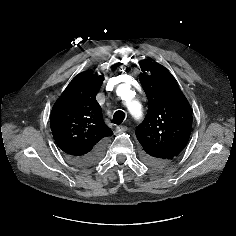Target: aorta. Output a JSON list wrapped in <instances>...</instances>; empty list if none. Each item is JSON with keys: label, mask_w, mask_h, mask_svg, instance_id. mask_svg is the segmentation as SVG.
Returning a JSON list of instances; mask_svg holds the SVG:
<instances>
[{"label": "aorta", "mask_w": 236, "mask_h": 236, "mask_svg": "<svg viewBox=\"0 0 236 236\" xmlns=\"http://www.w3.org/2000/svg\"><path fill=\"white\" fill-rule=\"evenodd\" d=\"M122 88V87H121ZM141 105L138 102H131L128 104V110L136 119H140L142 117Z\"/></svg>", "instance_id": "aorta-1"}]
</instances>
